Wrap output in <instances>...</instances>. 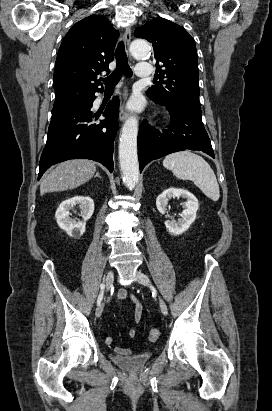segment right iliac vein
<instances>
[{"label":"right iliac vein","instance_id":"right-iliac-vein-1","mask_svg":"<svg viewBox=\"0 0 272 411\" xmlns=\"http://www.w3.org/2000/svg\"><path fill=\"white\" fill-rule=\"evenodd\" d=\"M113 280H114L113 271H112V270H109V271L106 273V276H105V278H104V282L106 283L107 289H110V287H111L112 284H113ZM102 311H103V304H100V305H98V307L96 308V311H95L96 317H100L101 314H102Z\"/></svg>","mask_w":272,"mask_h":411}]
</instances>
